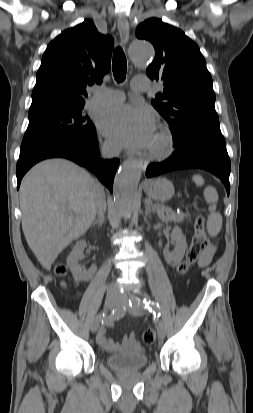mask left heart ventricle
<instances>
[{"instance_id":"obj_1","label":"left heart ventricle","mask_w":253,"mask_h":413,"mask_svg":"<svg viewBox=\"0 0 253 413\" xmlns=\"http://www.w3.org/2000/svg\"><path fill=\"white\" fill-rule=\"evenodd\" d=\"M156 142H157V135L155 134L153 143L151 145L155 144Z\"/></svg>"}]
</instances>
